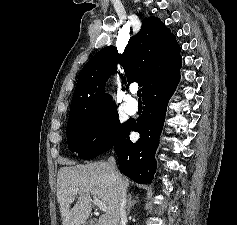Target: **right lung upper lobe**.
Masks as SVG:
<instances>
[{
	"mask_svg": "<svg viewBox=\"0 0 237 225\" xmlns=\"http://www.w3.org/2000/svg\"><path fill=\"white\" fill-rule=\"evenodd\" d=\"M180 49L176 37L160 19L154 16L144 19L140 31L129 39L122 55L119 56L114 46H108L85 64L77 81L70 112L94 116L115 109V103L105 94L104 87L119 62L128 84L137 82L143 86L142 98L162 83L180 79Z\"/></svg>",
	"mask_w": 237,
	"mask_h": 225,
	"instance_id": "obj_1",
	"label": "right lung upper lobe"
}]
</instances>
